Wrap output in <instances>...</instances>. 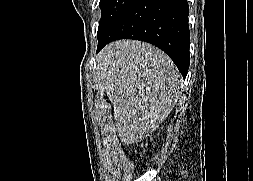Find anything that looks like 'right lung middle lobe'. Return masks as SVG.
<instances>
[{
    "instance_id": "1",
    "label": "right lung middle lobe",
    "mask_w": 253,
    "mask_h": 181,
    "mask_svg": "<svg viewBox=\"0 0 253 181\" xmlns=\"http://www.w3.org/2000/svg\"><path fill=\"white\" fill-rule=\"evenodd\" d=\"M133 0H100L101 19L98 36L101 35L131 4Z\"/></svg>"
}]
</instances>
